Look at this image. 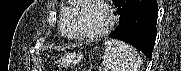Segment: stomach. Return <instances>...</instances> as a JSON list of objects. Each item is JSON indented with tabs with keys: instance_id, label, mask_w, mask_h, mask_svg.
Listing matches in <instances>:
<instances>
[{
	"instance_id": "1",
	"label": "stomach",
	"mask_w": 181,
	"mask_h": 71,
	"mask_svg": "<svg viewBox=\"0 0 181 71\" xmlns=\"http://www.w3.org/2000/svg\"><path fill=\"white\" fill-rule=\"evenodd\" d=\"M81 57L75 53L67 54L66 57L63 59V63L66 66H71L77 62H79Z\"/></svg>"
}]
</instances>
